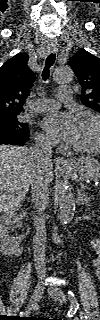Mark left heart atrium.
I'll list each match as a JSON object with an SVG mask.
<instances>
[{
  "label": "left heart atrium",
  "instance_id": "obj_1",
  "mask_svg": "<svg viewBox=\"0 0 100 320\" xmlns=\"http://www.w3.org/2000/svg\"><path fill=\"white\" fill-rule=\"evenodd\" d=\"M80 122L69 113H53L45 117L43 128L55 141L73 144L76 140Z\"/></svg>",
  "mask_w": 100,
  "mask_h": 320
}]
</instances>
